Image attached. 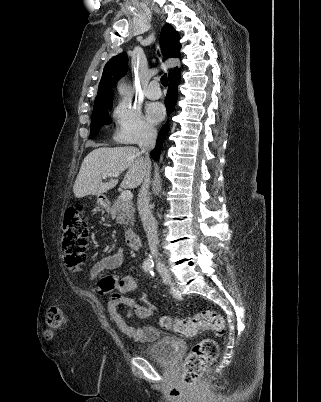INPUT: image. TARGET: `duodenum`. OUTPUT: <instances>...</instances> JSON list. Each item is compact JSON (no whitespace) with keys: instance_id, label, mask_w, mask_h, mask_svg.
I'll return each mask as SVG.
<instances>
[{"instance_id":"410a0bca","label":"duodenum","mask_w":321,"mask_h":402,"mask_svg":"<svg viewBox=\"0 0 321 402\" xmlns=\"http://www.w3.org/2000/svg\"><path fill=\"white\" fill-rule=\"evenodd\" d=\"M103 205H107V201L104 198L100 199ZM125 243L128 247L138 250L141 246L140 238L134 230H127L124 235Z\"/></svg>"}]
</instances>
